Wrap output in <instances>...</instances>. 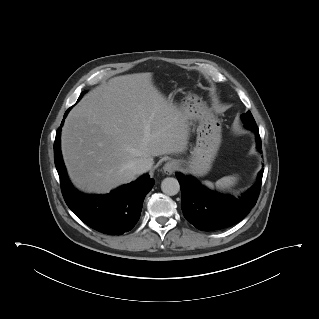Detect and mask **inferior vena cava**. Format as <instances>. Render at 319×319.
Wrapping results in <instances>:
<instances>
[{
  "instance_id": "obj_1",
  "label": "inferior vena cava",
  "mask_w": 319,
  "mask_h": 319,
  "mask_svg": "<svg viewBox=\"0 0 319 319\" xmlns=\"http://www.w3.org/2000/svg\"><path fill=\"white\" fill-rule=\"evenodd\" d=\"M152 165L151 158H139L131 163L130 168L134 174H142L151 169Z\"/></svg>"
}]
</instances>
